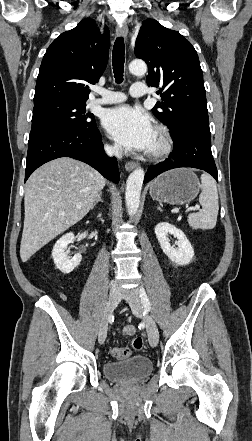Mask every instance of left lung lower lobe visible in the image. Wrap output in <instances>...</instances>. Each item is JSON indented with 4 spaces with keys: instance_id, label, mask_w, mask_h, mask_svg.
Returning a JSON list of instances; mask_svg holds the SVG:
<instances>
[{
    "instance_id": "left-lung-lower-lobe-1",
    "label": "left lung lower lobe",
    "mask_w": 252,
    "mask_h": 441,
    "mask_svg": "<svg viewBox=\"0 0 252 441\" xmlns=\"http://www.w3.org/2000/svg\"><path fill=\"white\" fill-rule=\"evenodd\" d=\"M174 149L164 162L148 168L144 183L174 168L193 167L211 174L217 181V169L211 152L209 124L200 121L186 122L177 135L172 136Z\"/></svg>"
}]
</instances>
